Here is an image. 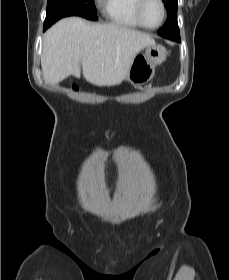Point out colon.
I'll use <instances>...</instances> for the list:
<instances>
[{
    "label": "colon",
    "mask_w": 229,
    "mask_h": 280,
    "mask_svg": "<svg viewBox=\"0 0 229 280\" xmlns=\"http://www.w3.org/2000/svg\"><path fill=\"white\" fill-rule=\"evenodd\" d=\"M74 90H75V91H78V90H79V88H78L77 86H75V87H74Z\"/></svg>",
    "instance_id": "colon-1"
}]
</instances>
